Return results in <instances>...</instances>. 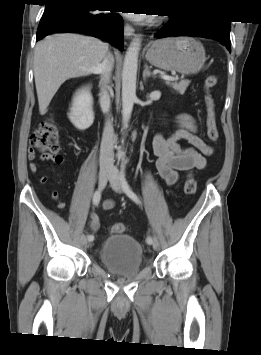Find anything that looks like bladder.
<instances>
[{
  "instance_id": "obj_1",
  "label": "bladder",
  "mask_w": 261,
  "mask_h": 355,
  "mask_svg": "<svg viewBox=\"0 0 261 355\" xmlns=\"http://www.w3.org/2000/svg\"><path fill=\"white\" fill-rule=\"evenodd\" d=\"M99 256L105 268L121 278L135 277L143 266V248L128 235L108 236L101 245Z\"/></svg>"
}]
</instances>
